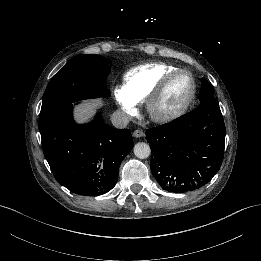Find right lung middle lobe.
I'll return each instance as SVG.
<instances>
[{"label": "right lung middle lobe", "mask_w": 261, "mask_h": 261, "mask_svg": "<svg viewBox=\"0 0 261 261\" xmlns=\"http://www.w3.org/2000/svg\"><path fill=\"white\" fill-rule=\"evenodd\" d=\"M110 69L111 62L99 55L81 54L72 58L50 80L41 111L57 104L108 97L105 81Z\"/></svg>", "instance_id": "obj_1"}]
</instances>
